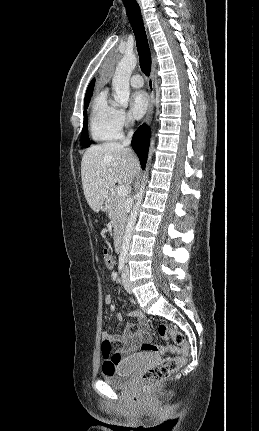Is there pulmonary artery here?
<instances>
[{"label":"pulmonary artery","mask_w":259,"mask_h":431,"mask_svg":"<svg viewBox=\"0 0 259 431\" xmlns=\"http://www.w3.org/2000/svg\"><path fill=\"white\" fill-rule=\"evenodd\" d=\"M143 78H142V76L141 75H139V74H135V75H133L132 77H131V79H130V84H131V86L132 87H134V88H140V87H142L143 86Z\"/></svg>","instance_id":"obj_1"}]
</instances>
